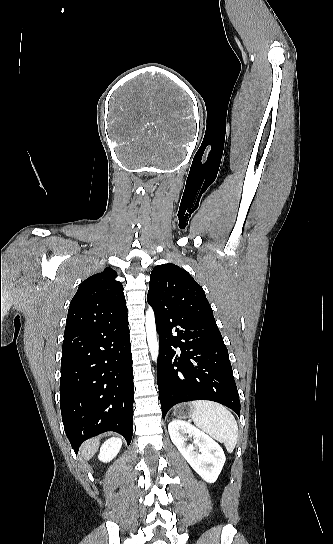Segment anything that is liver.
<instances>
[{"label":"liver","instance_id":"obj_1","mask_svg":"<svg viewBox=\"0 0 333 544\" xmlns=\"http://www.w3.org/2000/svg\"><path fill=\"white\" fill-rule=\"evenodd\" d=\"M99 438H94L92 440H89L81 447V456L84 457V459L89 460L91 457L95 454V452L98 449L99 446Z\"/></svg>","mask_w":333,"mask_h":544}]
</instances>
